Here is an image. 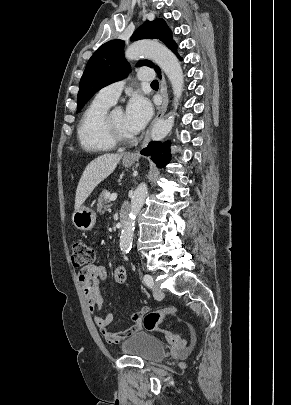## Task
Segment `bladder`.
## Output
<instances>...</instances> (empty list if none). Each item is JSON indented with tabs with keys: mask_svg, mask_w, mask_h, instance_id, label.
I'll return each mask as SVG.
<instances>
[{
	"mask_svg": "<svg viewBox=\"0 0 291 405\" xmlns=\"http://www.w3.org/2000/svg\"><path fill=\"white\" fill-rule=\"evenodd\" d=\"M121 350L127 355L139 357L146 362H158L166 355L163 342L145 331L132 334L122 343Z\"/></svg>",
	"mask_w": 291,
	"mask_h": 405,
	"instance_id": "31cf9c89",
	"label": "bladder"
}]
</instances>
